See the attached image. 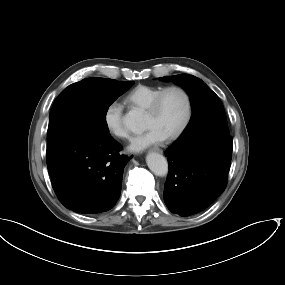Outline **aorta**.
I'll return each mask as SVG.
<instances>
[{"label":"aorta","mask_w":285,"mask_h":285,"mask_svg":"<svg viewBox=\"0 0 285 285\" xmlns=\"http://www.w3.org/2000/svg\"><path fill=\"white\" fill-rule=\"evenodd\" d=\"M124 126L132 131L137 130L142 122V114L137 110L129 111L122 119ZM149 169L156 176H165L168 173V162L166 158L158 153H150L146 157Z\"/></svg>","instance_id":"obj_1"}]
</instances>
